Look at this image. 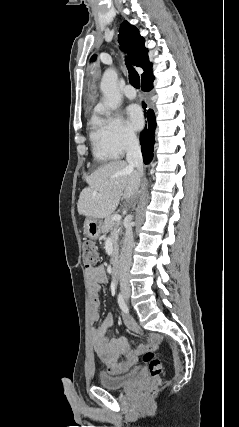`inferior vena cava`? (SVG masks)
Here are the masks:
<instances>
[{"label": "inferior vena cava", "instance_id": "obj_1", "mask_svg": "<svg viewBox=\"0 0 239 427\" xmlns=\"http://www.w3.org/2000/svg\"><path fill=\"white\" fill-rule=\"evenodd\" d=\"M126 160L131 169L136 168L139 174H143V159L138 139L135 135H129L126 139ZM134 245L131 225H128L123 239V246L119 260V279L121 290H130L129 271Z\"/></svg>", "mask_w": 239, "mask_h": 427}]
</instances>
